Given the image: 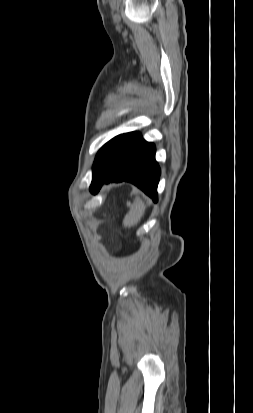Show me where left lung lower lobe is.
Here are the masks:
<instances>
[{
    "mask_svg": "<svg viewBox=\"0 0 253 413\" xmlns=\"http://www.w3.org/2000/svg\"><path fill=\"white\" fill-rule=\"evenodd\" d=\"M160 168L155 146L140 133L123 134L106 162L92 176L90 191L97 193L104 183L128 181L157 201Z\"/></svg>",
    "mask_w": 253,
    "mask_h": 413,
    "instance_id": "left-lung-lower-lobe-1",
    "label": "left lung lower lobe"
}]
</instances>
